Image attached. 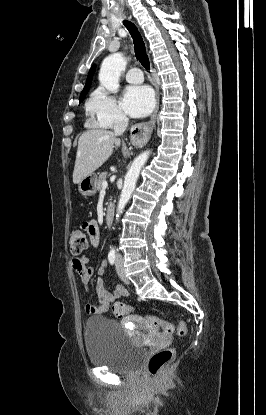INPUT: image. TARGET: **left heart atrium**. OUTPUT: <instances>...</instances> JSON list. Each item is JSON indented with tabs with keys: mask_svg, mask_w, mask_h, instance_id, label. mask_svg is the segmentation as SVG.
<instances>
[{
	"mask_svg": "<svg viewBox=\"0 0 266 415\" xmlns=\"http://www.w3.org/2000/svg\"><path fill=\"white\" fill-rule=\"evenodd\" d=\"M122 105L132 117L146 116L154 106L153 92L147 86L128 87L124 93Z\"/></svg>",
	"mask_w": 266,
	"mask_h": 415,
	"instance_id": "obj_1",
	"label": "left heart atrium"
}]
</instances>
